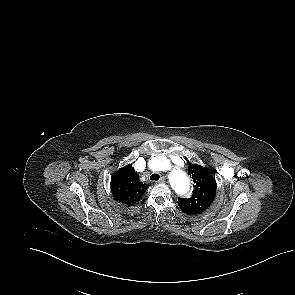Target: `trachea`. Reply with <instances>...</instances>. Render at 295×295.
Segmentation results:
<instances>
[{"label": "trachea", "instance_id": "1", "mask_svg": "<svg viewBox=\"0 0 295 295\" xmlns=\"http://www.w3.org/2000/svg\"><path fill=\"white\" fill-rule=\"evenodd\" d=\"M159 178H160L159 174H152L150 176V180H152V181H158Z\"/></svg>", "mask_w": 295, "mask_h": 295}]
</instances>
